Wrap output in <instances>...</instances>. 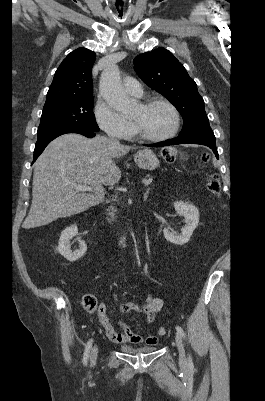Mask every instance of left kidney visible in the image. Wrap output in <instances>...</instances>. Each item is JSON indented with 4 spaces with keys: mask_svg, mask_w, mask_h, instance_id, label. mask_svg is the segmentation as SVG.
<instances>
[{
    "mask_svg": "<svg viewBox=\"0 0 265 401\" xmlns=\"http://www.w3.org/2000/svg\"><path fill=\"white\" fill-rule=\"evenodd\" d=\"M174 209L178 215L184 217L186 225L184 229H181L182 235H180V237H176L169 229H164V237L166 241H170V243H174V245H185V243H188L191 235H193V231L198 227L199 211L194 205L183 203V201L174 203Z\"/></svg>",
    "mask_w": 265,
    "mask_h": 401,
    "instance_id": "obj_1",
    "label": "left kidney"
}]
</instances>
